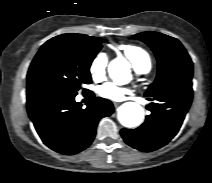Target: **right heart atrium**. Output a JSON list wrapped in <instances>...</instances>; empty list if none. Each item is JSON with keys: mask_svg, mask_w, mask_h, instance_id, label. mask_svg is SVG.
I'll use <instances>...</instances> for the list:
<instances>
[{"mask_svg": "<svg viewBox=\"0 0 212 183\" xmlns=\"http://www.w3.org/2000/svg\"><path fill=\"white\" fill-rule=\"evenodd\" d=\"M108 57L105 53H98L89 65V73L93 80H101L106 71Z\"/></svg>", "mask_w": 212, "mask_h": 183, "instance_id": "obj_1", "label": "right heart atrium"}]
</instances>
